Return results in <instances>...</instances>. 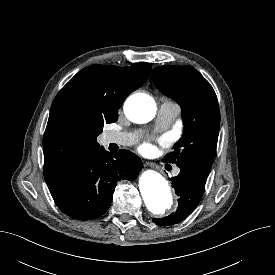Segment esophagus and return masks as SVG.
I'll return each mask as SVG.
<instances>
[{"label":"esophagus","instance_id":"esophagus-1","mask_svg":"<svg viewBox=\"0 0 275 275\" xmlns=\"http://www.w3.org/2000/svg\"><path fill=\"white\" fill-rule=\"evenodd\" d=\"M147 165L154 167V164H152V163H147Z\"/></svg>","mask_w":275,"mask_h":275}]
</instances>
